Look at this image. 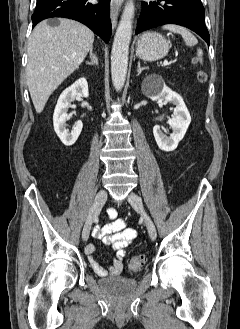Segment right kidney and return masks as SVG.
Listing matches in <instances>:
<instances>
[{"label":"right kidney","instance_id":"ca27d5eb","mask_svg":"<svg viewBox=\"0 0 240 329\" xmlns=\"http://www.w3.org/2000/svg\"><path fill=\"white\" fill-rule=\"evenodd\" d=\"M76 96L84 98L89 96L88 83L85 78L78 79L62 92L54 110V130L65 146H71L76 142L83 127L82 122L77 121L71 132L66 129V121L71 117V114L67 113L68 108Z\"/></svg>","mask_w":240,"mask_h":329}]
</instances>
